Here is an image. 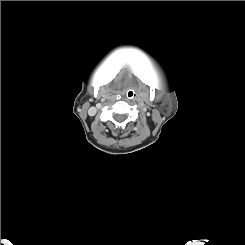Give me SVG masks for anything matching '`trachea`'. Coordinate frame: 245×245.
<instances>
[{"instance_id":"trachea-1","label":"trachea","mask_w":245,"mask_h":245,"mask_svg":"<svg viewBox=\"0 0 245 245\" xmlns=\"http://www.w3.org/2000/svg\"><path fill=\"white\" fill-rule=\"evenodd\" d=\"M126 95L129 99H133L135 97V91L133 89H129Z\"/></svg>"}]
</instances>
